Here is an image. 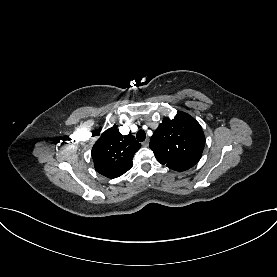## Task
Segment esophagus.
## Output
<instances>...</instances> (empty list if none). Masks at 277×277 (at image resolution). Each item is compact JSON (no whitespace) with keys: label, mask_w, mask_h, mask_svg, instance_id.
Wrapping results in <instances>:
<instances>
[{"label":"esophagus","mask_w":277,"mask_h":277,"mask_svg":"<svg viewBox=\"0 0 277 277\" xmlns=\"http://www.w3.org/2000/svg\"><path fill=\"white\" fill-rule=\"evenodd\" d=\"M142 146L148 147L149 146V139H146L144 142H142Z\"/></svg>","instance_id":"34e87169"}]
</instances>
